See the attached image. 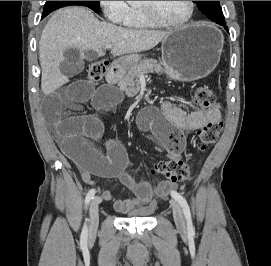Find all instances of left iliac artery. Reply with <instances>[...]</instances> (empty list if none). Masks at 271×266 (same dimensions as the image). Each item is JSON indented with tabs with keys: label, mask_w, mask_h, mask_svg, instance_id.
I'll return each mask as SVG.
<instances>
[{
	"label": "left iliac artery",
	"mask_w": 271,
	"mask_h": 266,
	"mask_svg": "<svg viewBox=\"0 0 271 266\" xmlns=\"http://www.w3.org/2000/svg\"><path fill=\"white\" fill-rule=\"evenodd\" d=\"M171 196L181 205L183 209V213L185 215L186 221H187V230L189 234H194V227L191 219V213H190V208L188 206L187 201L183 196H181L178 192L176 191H171Z\"/></svg>",
	"instance_id": "44dca946"
}]
</instances>
